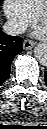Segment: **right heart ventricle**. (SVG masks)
<instances>
[{"mask_svg":"<svg viewBox=\"0 0 47 129\" xmlns=\"http://www.w3.org/2000/svg\"><path fill=\"white\" fill-rule=\"evenodd\" d=\"M27 10L35 16L36 12L42 7L45 0H20Z\"/></svg>","mask_w":47,"mask_h":129,"instance_id":"1","label":"right heart ventricle"}]
</instances>
